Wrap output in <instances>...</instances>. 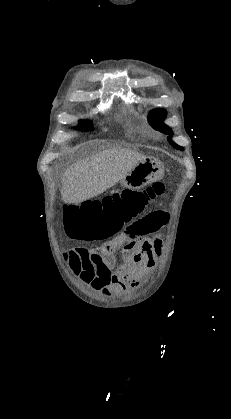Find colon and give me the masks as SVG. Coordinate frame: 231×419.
I'll return each mask as SVG.
<instances>
[{
  "mask_svg": "<svg viewBox=\"0 0 231 419\" xmlns=\"http://www.w3.org/2000/svg\"><path fill=\"white\" fill-rule=\"evenodd\" d=\"M165 189L163 183H154L145 189H125L81 206H66L65 227L73 236H83L86 240L110 239L139 216L145 206Z\"/></svg>",
  "mask_w": 231,
  "mask_h": 419,
  "instance_id": "5ec220e1",
  "label": "colon"
}]
</instances>
